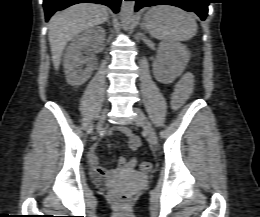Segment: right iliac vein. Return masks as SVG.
<instances>
[{"label":"right iliac vein","instance_id":"1","mask_svg":"<svg viewBox=\"0 0 260 217\" xmlns=\"http://www.w3.org/2000/svg\"><path fill=\"white\" fill-rule=\"evenodd\" d=\"M105 118H106V110L103 111L101 120H100V122H99V124H98V128H97L98 131L102 128L103 123H104V121H105Z\"/></svg>","mask_w":260,"mask_h":217}]
</instances>
